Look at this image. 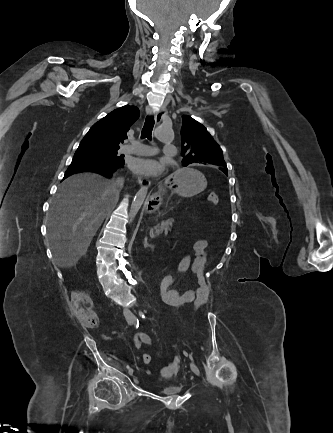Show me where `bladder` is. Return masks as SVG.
<instances>
[{
    "label": "bladder",
    "mask_w": 333,
    "mask_h": 433,
    "mask_svg": "<svg viewBox=\"0 0 333 433\" xmlns=\"http://www.w3.org/2000/svg\"><path fill=\"white\" fill-rule=\"evenodd\" d=\"M161 394L164 396H178L182 392L181 385H167L161 388Z\"/></svg>",
    "instance_id": "31cf9c89"
}]
</instances>
